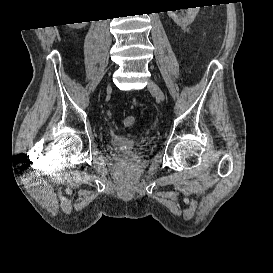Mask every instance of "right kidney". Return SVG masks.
Segmentation results:
<instances>
[{
	"label": "right kidney",
	"mask_w": 273,
	"mask_h": 273,
	"mask_svg": "<svg viewBox=\"0 0 273 273\" xmlns=\"http://www.w3.org/2000/svg\"><path fill=\"white\" fill-rule=\"evenodd\" d=\"M85 24H86V22L76 23V25H78V26H76V27L81 28V27L85 26Z\"/></svg>",
	"instance_id": "right-kidney-1"
}]
</instances>
